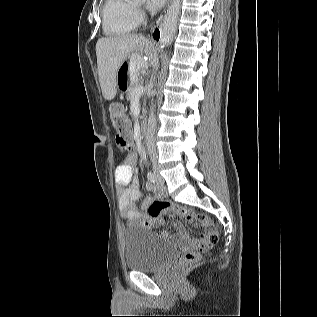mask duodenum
<instances>
[{"label": "duodenum", "instance_id": "1", "mask_svg": "<svg viewBox=\"0 0 317 317\" xmlns=\"http://www.w3.org/2000/svg\"><path fill=\"white\" fill-rule=\"evenodd\" d=\"M145 126L144 125H141L140 127V131H139V134H138V140L142 141L143 138H144V135H145Z\"/></svg>", "mask_w": 317, "mask_h": 317}]
</instances>
